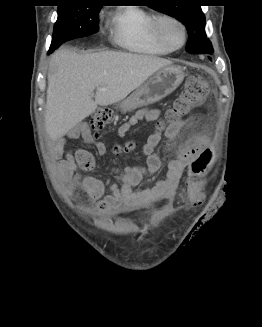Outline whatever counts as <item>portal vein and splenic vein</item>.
Segmentation results:
<instances>
[{
  "mask_svg": "<svg viewBox=\"0 0 262 327\" xmlns=\"http://www.w3.org/2000/svg\"><path fill=\"white\" fill-rule=\"evenodd\" d=\"M99 90H100V91H105L106 89H105V88H100Z\"/></svg>",
  "mask_w": 262,
  "mask_h": 327,
  "instance_id": "18ae733b",
  "label": "portal vein and splenic vein"
}]
</instances>
